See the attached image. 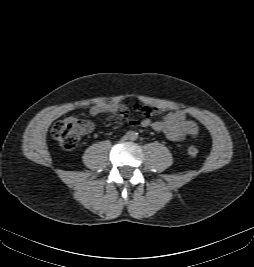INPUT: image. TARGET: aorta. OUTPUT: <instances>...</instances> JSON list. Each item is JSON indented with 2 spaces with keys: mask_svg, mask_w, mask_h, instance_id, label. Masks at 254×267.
<instances>
[{
  "mask_svg": "<svg viewBox=\"0 0 254 267\" xmlns=\"http://www.w3.org/2000/svg\"><path fill=\"white\" fill-rule=\"evenodd\" d=\"M137 138V133L131 132L130 133V139L135 140Z\"/></svg>",
  "mask_w": 254,
  "mask_h": 267,
  "instance_id": "obj_1",
  "label": "aorta"
}]
</instances>
